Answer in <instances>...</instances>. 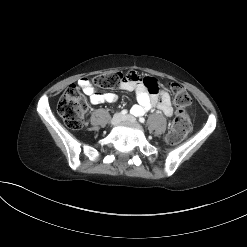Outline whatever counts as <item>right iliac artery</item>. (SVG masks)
<instances>
[{"label":"right iliac artery","mask_w":247,"mask_h":247,"mask_svg":"<svg viewBox=\"0 0 247 247\" xmlns=\"http://www.w3.org/2000/svg\"><path fill=\"white\" fill-rule=\"evenodd\" d=\"M127 113H128V111L126 109H124V110L121 111V114L122 115H126Z\"/></svg>","instance_id":"82829eb1"}]
</instances>
